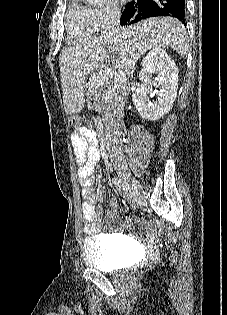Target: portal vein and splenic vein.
<instances>
[{
	"label": "portal vein and splenic vein",
	"mask_w": 227,
	"mask_h": 315,
	"mask_svg": "<svg viewBox=\"0 0 227 315\" xmlns=\"http://www.w3.org/2000/svg\"><path fill=\"white\" fill-rule=\"evenodd\" d=\"M121 78H122V75L116 74V76H115V78H114V86L109 87V88L106 90V93H107L108 95L113 94V92L115 91V88L117 87L118 83L121 81ZM104 79H105V77H104V78L99 77V76H98V77H94L92 83L95 84V85H101V84H103Z\"/></svg>",
	"instance_id": "portal-vein-and-splenic-vein-1"
}]
</instances>
